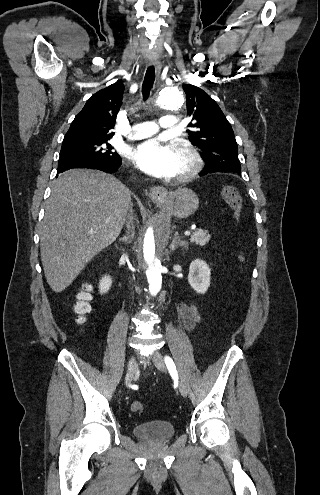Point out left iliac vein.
<instances>
[{
	"label": "left iliac vein",
	"mask_w": 320,
	"mask_h": 495,
	"mask_svg": "<svg viewBox=\"0 0 320 495\" xmlns=\"http://www.w3.org/2000/svg\"><path fill=\"white\" fill-rule=\"evenodd\" d=\"M153 362H154V365L156 366V368L158 370H160L161 372H166L167 371V368H166V365H165V362H164V358L161 355V353H159L158 351H156L153 354ZM178 388H179V391H180L181 395L183 397H186L187 394H188L186 385L183 382L179 381Z\"/></svg>",
	"instance_id": "left-iliac-vein-1"
}]
</instances>
